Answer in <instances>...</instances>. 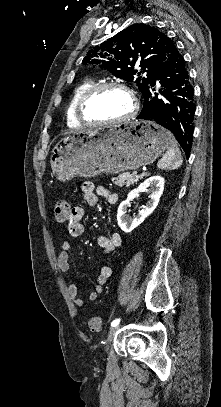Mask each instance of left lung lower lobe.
Returning a JSON list of instances; mask_svg holds the SVG:
<instances>
[{
  "mask_svg": "<svg viewBox=\"0 0 221 407\" xmlns=\"http://www.w3.org/2000/svg\"><path fill=\"white\" fill-rule=\"evenodd\" d=\"M157 80L162 97L154 92ZM143 96V109L137 119L149 120L170 130L188 158L194 132V89L184 57L175 44L170 46L168 58L154 74Z\"/></svg>",
  "mask_w": 221,
  "mask_h": 407,
  "instance_id": "0a47b994",
  "label": "left lung lower lobe"
}]
</instances>
